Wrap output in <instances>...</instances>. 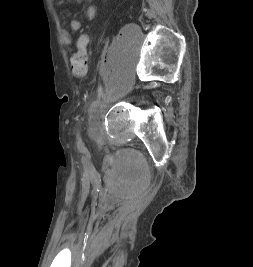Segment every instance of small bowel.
Segmentation results:
<instances>
[{
    "instance_id": "obj_1",
    "label": "small bowel",
    "mask_w": 253,
    "mask_h": 267,
    "mask_svg": "<svg viewBox=\"0 0 253 267\" xmlns=\"http://www.w3.org/2000/svg\"><path fill=\"white\" fill-rule=\"evenodd\" d=\"M85 1V15L89 20H93L96 16V9L92 5V0H84ZM70 28L74 32H80L83 29V24L78 19H72L70 21ZM62 38L66 45L70 46L72 44V38L67 29L62 28Z\"/></svg>"
}]
</instances>
